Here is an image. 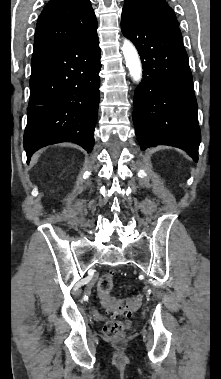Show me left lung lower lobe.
<instances>
[{
    "mask_svg": "<svg viewBox=\"0 0 221 379\" xmlns=\"http://www.w3.org/2000/svg\"><path fill=\"white\" fill-rule=\"evenodd\" d=\"M121 29L136 46L144 70L133 107L141 149L175 146L197 162L198 107L179 27L157 23L128 3L122 10Z\"/></svg>",
    "mask_w": 221,
    "mask_h": 379,
    "instance_id": "1",
    "label": "left lung lower lobe"
}]
</instances>
